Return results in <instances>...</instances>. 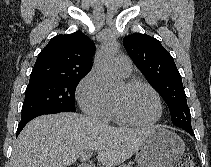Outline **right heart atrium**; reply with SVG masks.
Returning a JSON list of instances; mask_svg holds the SVG:
<instances>
[{"mask_svg":"<svg viewBox=\"0 0 211 167\" xmlns=\"http://www.w3.org/2000/svg\"><path fill=\"white\" fill-rule=\"evenodd\" d=\"M77 100L84 113L103 121L108 120L111 101L94 72L85 75L76 90Z\"/></svg>","mask_w":211,"mask_h":167,"instance_id":"right-heart-atrium-1","label":"right heart atrium"}]
</instances>
